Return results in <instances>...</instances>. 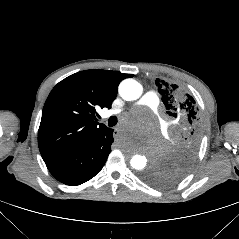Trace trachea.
Returning <instances> with one entry per match:
<instances>
[{"instance_id": "obj_1", "label": "trachea", "mask_w": 239, "mask_h": 239, "mask_svg": "<svg viewBox=\"0 0 239 239\" xmlns=\"http://www.w3.org/2000/svg\"><path fill=\"white\" fill-rule=\"evenodd\" d=\"M117 124V118L115 116H111L108 120V126L113 127Z\"/></svg>"}]
</instances>
